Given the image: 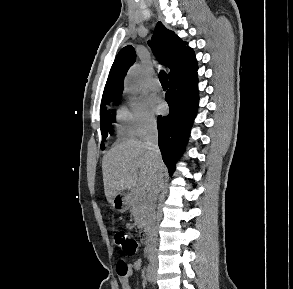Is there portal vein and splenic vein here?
I'll list each match as a JSON object with an SVG mask.
<instances>
[{
	"label": "portal vein and splenic vein",
	"instance_id": "1",
	"mask_svg": "<svg viewBox=\"0 0 293 289\" xmlns=\"http://www.w3.org/2000/svg\"><path fill=\"white\" fill-rule=\"evenodd\" d=\"M134 191L137 193V194H142L143 193V190L140 186H136Z\"/></svg>",
	"mask_w": 293,
	"mask_h": 289
}]
</instances>
